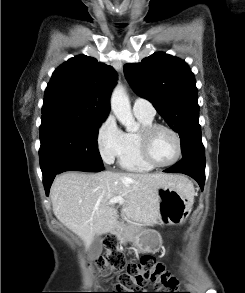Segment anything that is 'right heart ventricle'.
Returning a JSON list of instances; mask_svg holds the SVG:
<instances>
[{
  "mask_svg": "<svg viewBox=\"0 0 245 293\" xmlns=\"http://www.w3.org/2000/svg\"><path fill=\"white\" fill-rule=\"evenodd\" d=\"M141 128L154 124V117L136 115ZM139 132L125 133L124 148L118 156V165L121 169L130 172H149L154 167L146 163L139 151Z\"/></svg>",
  "mask_w": 245,
  "mask_h": 293,
  "instance_id": "1",
  "label": "right heart ventricle"
}]
</instances>
